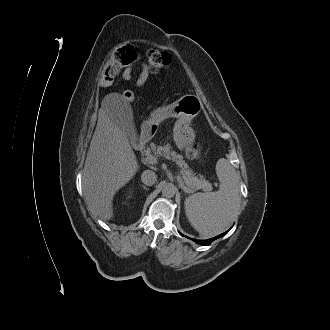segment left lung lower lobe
Segmentation results:
<instances>
[{
	"label": "left lung lower lobe",
	"mask_w": 330,
	"mask_h": 330,
	"mask_svg": "<svg viewBox=\"0 0 330 330\" xmlns=\"http://www.w3.org/2000/svg\"><path fill=\"white\" fill-rule=\"evenodd\" d=\"M229 230H230V229H229ZM229 230H228V231H229ZM228 231H226V232H224V233H222V234H220V235H218V236H216V237H214V238L208 239V240H196V239H192V238H189V239H191V240L195 241L196 243L201 244V245H203V246H207V245H210L211 242H213L215 239L224 236L226 233H228ZM181 235H182V234H181ZM182 236H183V235H182Z\"/></svg>",
	"instance_id": "1"
}]
</instances>
